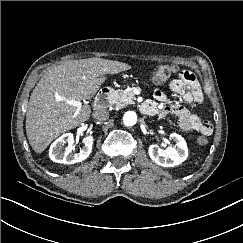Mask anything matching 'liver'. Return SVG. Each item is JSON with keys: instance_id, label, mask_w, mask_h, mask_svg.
<instances>
[{"instance_id": "6515ba94", "label": "liver", "mask_w": 243, "mask_h": 243, "mask_svg": "<svg viewBox=\"0 0 243 243\" xmlns=\"http://www.w3.org/2000/svg\"><path fill=\"white\" fill-rule=\"evenodd\" d=\"M126 63L102 58L69 60L49 68L35 86L26 113V133L32 149L43 152L60 134L85 122L87 104L78 109L68 100L90 99L106 80L128 70Z\"/></svg>"}]
</instances>
